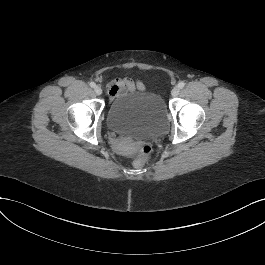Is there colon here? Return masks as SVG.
Returning <instances> with one entry per match:
<instances>
[{
    "mask_svg": "<svg viewBox=\"0 0 265 265\" xmlns=\"http://www.w3.org/2000/svg\"><path fill=\"white\" fill-rule=\"evenodd\" d=\"M152 148L150 145H143L138 153L137 158L134 160V166L139 168L144 165L146 160L151 156Z\"/></svg>",
    "mask_w": 265,
    "mask_h": 265,
    "instance_id": "obj_1",
    "label": "colon"
}]
</instances>
